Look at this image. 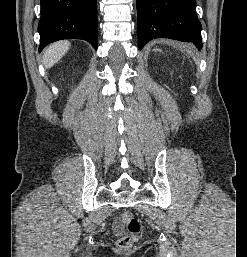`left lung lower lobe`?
<instances>
[{"label": "left lung lower lobe", "mask_w": 247, "mask_h": 257, "mask_svg": "<svg viewBox=\"0 0 247 257\" xmlns=\"http://www.w3.org/2000/svg\"><path fill=\"white\" fill-rule=\"evenodd\" d=\"M139 49L155 38L192 42L202 48L196 0H136Z\"/></svg>", "instance_id": "1"}]
</instances>
